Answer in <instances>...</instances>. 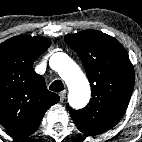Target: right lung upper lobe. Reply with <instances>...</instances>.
<instances>
[{
  "label": "right lung upper lobe",
  "mask_w": 142,
  "mask_h": 142,
  "mask_svg": "<svg viewBox=\"0 0 142 142\" xmlns=\"http://www.w3.org/2000/svg\"><path fill=\"white\" fill-rule=\"evenodd\" d=\"M50 46L43 37H12L0 45V124L24 138L33 134L59 96L47 90L33 70L34 61Z\"/></svg>",
  "instance_id": "right-lung-upper-lobe-1"
}]
</instances>
